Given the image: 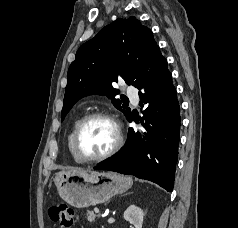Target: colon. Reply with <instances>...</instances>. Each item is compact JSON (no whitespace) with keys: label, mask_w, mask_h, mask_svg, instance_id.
I'll return each instance as SVG.
<instances>
[{"label":"colon","mask_w":238,"mask_h":228,"mask_svg":"<svg viewBox=\"0 0 238 228\" xmlns=\"http://www.w3.org/2000/svg\"><path fill=\"white\" fill-rule=\"evenodd\" d=\"M50 219L62 228H70L74 221V210L67 204L61 203L49 208Z\"/></svg>","instance_id":"5ec220e1"}]
</instances>
